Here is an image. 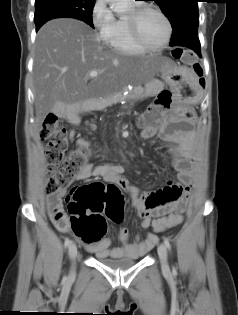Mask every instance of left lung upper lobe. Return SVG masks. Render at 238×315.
Instances as JSON below:
<instances>
[{"label": "left lung upper lobe", "instance_id": "obj_1", "mask_svg": "<svg viewBox=\"0 0 238 315\" xmlns=\"http://www.w3.org/2000/svg\"><path fill=\"white\" fill-rule=\"evenodd\" d=\"M171 23V42L198 34L199 16L197 0H153Z\"/></svg>", "mask_w": 238, "mask_h": 315}]
</instances>
